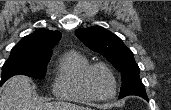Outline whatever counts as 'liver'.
I'll list each match as a JSON object with an SVG mask.
<instances>
[{
  "instance_id": "6515ba94",
  "label": "liver",
  "mask_w": 171,
  "mask_h": 110,
  "mask_svg": "<svg viewBox=\"0 0 171 110\" xmlns=\"http://www.w3.org/2000/svg\"><path fill=\"white\" fill-rule=\"evenodd\" d=\"M35 85L24 75L9 79L0 98V110H87L65 102L41 103L32 100Z\"/></svg>"
}]
</instances>
